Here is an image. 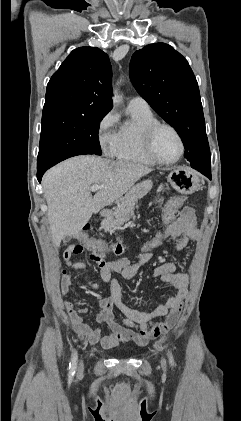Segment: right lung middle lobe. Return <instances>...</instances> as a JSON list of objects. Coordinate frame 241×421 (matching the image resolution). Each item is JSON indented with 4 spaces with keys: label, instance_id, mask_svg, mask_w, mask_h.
Masks as SVG:
<instances>
[{
    "label": "right lung middle lobe",
    "instance_id": "dd1d6c3e",
    "mask_svg": "<svg viewBox=\"0 0 241 421\" xmlns=\"http://www.w3.org/2000/svg\"><path fill=\"white\" fill-rule=\"evenodd\" d=\"M105 115L43 112L37 167L53 166L76 155H101L98 130Z\"/></svg>",
    "mask_w": 241,
    "mask_h": 421
}]
</instances>
